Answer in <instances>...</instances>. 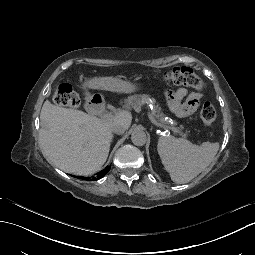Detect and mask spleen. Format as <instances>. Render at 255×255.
<instances>
[{"instance_id": "spleen-1", "label": "spleen", "mask_w": 255, "mask_h": 255, "mask_svg": "<svg viewBox=\"0 0 255 255\" xmlns=\"http://www.w3.org/2000/svg\"><path fill=\"white\" fill-rule=\"evenodd\" d=\"M218 143L203 142L198 146L174 136H161L157 150L173 182L187 183L200 174L213 160Z\"/></svg>"}]
</instances>
